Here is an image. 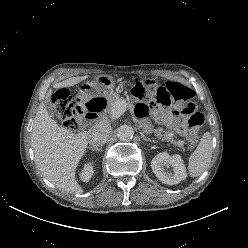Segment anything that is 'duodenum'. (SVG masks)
Returning <instances> with one entry per match:
<instances>
[{
  "mask_svg": "<svg viewBox=\"0 0 248 248\" xmlns=\"http://www.w3.org/2000/svg\"><path fill=\"white\" fill-rule=\"evenodd\" d=\"M83 116H85L87 119L90 120H94L96 118V114L92 113L91 111H85V110Z\"/></svg>",
  "mask_w": 248,
  "mask_h": 248,
  "instance_id": "duodenum-1",
  "label": "duodenum"
}]
</instances>
